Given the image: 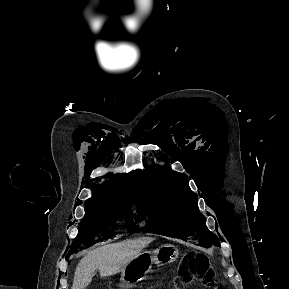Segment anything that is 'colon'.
<instances>
[{"label": "colon", "instance_id": "5ec220e1", "mask_svg": "<svg viewBox=\"0 0 289 289\" xmlns=\"http://www.w3.org/2000/svg\"><path fill=\"white\" fill-rule=\"evenodd\" d=\"M179 285L199 284L209 287L215 284L212 270L204 259L196 253H191L177 278Z\"/></svg>", "mask_w": 289, "mask_h": 289}]
</instances>
